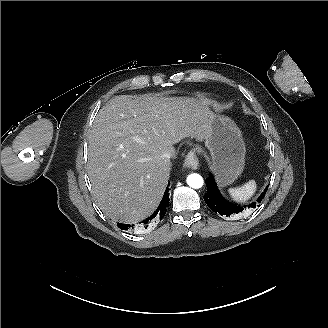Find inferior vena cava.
I'll return each instance as SVG.
<instances>
[{
  "label": "inferior vena cava",
  "mask_w": 328,
  "mask_h": 328,
  "mask_svg": "<svg viewBox=\"0 0 328 328\" xmlns=\"http://www.w3.org/2000/svg\"><path fill=\"white\" fill-rule=\"evenodd\" d=\"M163 157L170 159V155L169 154H164Z\"/></svg>",
  "instance_id": "obj_1"
}]
</instances>
